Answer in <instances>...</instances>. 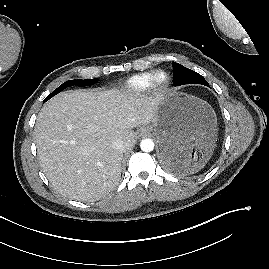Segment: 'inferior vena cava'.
<instances>
[{
	"instance_id": "obj_1",
	"label": "inferior vena cava",
	"mask_w": 269,
	"mask_h": 269,
	"mask_svg": "<svg viewBox=\"0 0 269 269\" xmlns=\"http://www.w3.org/2000/svg\"><path fill=\"white\" fill-rule=\"evenodd\" d=\"M112 148H114L115 150L118 151H122L124 149V143L122 140L117 139L115 141L112 142Z\"/></svg>"
}]
</instances>
